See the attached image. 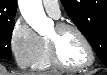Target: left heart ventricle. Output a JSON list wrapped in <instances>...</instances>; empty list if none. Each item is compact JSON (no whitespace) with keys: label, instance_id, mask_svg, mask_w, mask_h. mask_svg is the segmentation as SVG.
<instances>
[{"label":"left heart ventricle","instance_id":"left-heart-ventricle-1","mask_svg":"<svg viewBox=\"0 0 107 75\" xmlns=\"http://www.w3.org/2000/svg\"><path fill=\"white\" fill-rule=\"evenodd\" d=\"M49 38L55 39L59 54L64 63L71 66H79L87 62L88 52L79 36L71 30L57 33L54 28Z\"/></svg>","mask_w":107,"mask_h":75}]
</instances>
